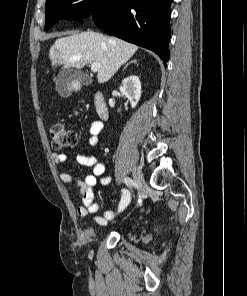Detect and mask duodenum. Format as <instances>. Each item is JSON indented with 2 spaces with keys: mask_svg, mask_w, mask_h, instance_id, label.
<instances>
[{
  "mask_svg": "<svg viewBox=\"0 0 247 296\" xmlns=\"http://www.w3.org/2000/svg\"><path fill=\"white\" fill-rule=\"evenodd\" d=\"M95 112L101 119H105L108 117L109 111L108 106L105 101L104 95L101 92H98L95 96L94 100Z\"/></svg>",
  "mask_w": 247,
  "mask_h": 296,
  "instance_id": "obj_1",
  "label": "duodenum"
}]
</instances>
